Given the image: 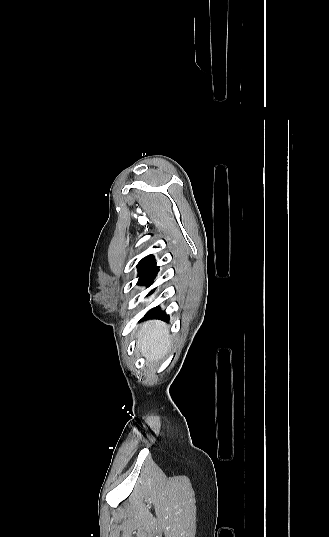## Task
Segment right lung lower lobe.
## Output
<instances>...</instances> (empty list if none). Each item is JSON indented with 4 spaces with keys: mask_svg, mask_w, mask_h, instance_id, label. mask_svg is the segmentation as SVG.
I'll list each match as a JSON object with an SVG mask.
<instances>
[{
    "mask_svg": "<svg viewBox=\"0 0 329 537\" xmlns=\"http://www.w3.org/2000/svg\"><path fill=\"white\" fill-rule=\"evenodd\" d=\"M158 269L159 267L156 266V264H151L147 267V269L140 275V279L138 281V284L140 285H146V284H149L151 283L152 279L155 278L157 272H158ZM154 290L150 291L149 294H151ZM153 318V317H156V318H161V319H164L166 321H168L169 319V316L166 315L164 312H160V309L159 307H155L153 309H151L147 314L146 316L144 317V319H148V318Z\"/></svg>",
    "mask_w": 329,
    "mask_h": 537,
    "instance_id": "1",
    "label": "right lung lower lobe"
}]
</instances>
